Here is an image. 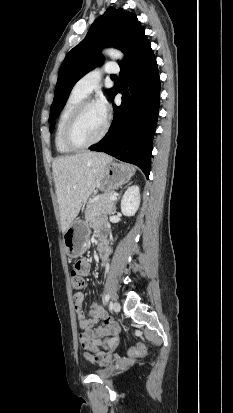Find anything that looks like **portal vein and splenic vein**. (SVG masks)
Returning <instances> with one entry per match:
<instances>
[{
	"label": "portal vein and splenic vein",
	"mask_w": 233,
	"mask_h": 413,
	"mask_svg": "<svg viewBox=\"0 0 233 413\" xmlns=\"http://www.w3.org/2000/svg\"><path fill=\"white\" fill-rule=\"evenodd\" d=\"M109 198H110L111 200H115V199H116V196L111 195Z\"/></svg>",
	"instance_id": "1"
}]
</instances>
